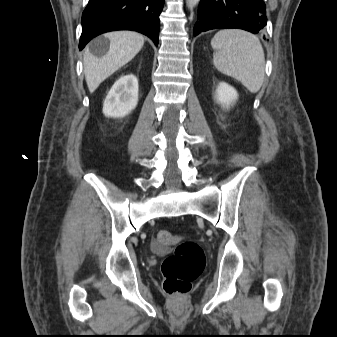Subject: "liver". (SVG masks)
I'll return each instance as SVG.
<instances>
[{"label": "liver", "instance_id": "1", "mask_svg": "<svg viewBox=\"0 0 337 337\" xmlns=\"http://www.w3.org/2000/svg\"><path fill=\"white\" fill-rule=\"evenodd\" d=\"M104 37L110 41L108 52L105 55L96 57L89 49L84 52V74L91 93L106 78L131 61L144 45V37L133 31L109 32Z\"/></svg>", "mask_w": 337, "mask_h": 337}]
</instances>
